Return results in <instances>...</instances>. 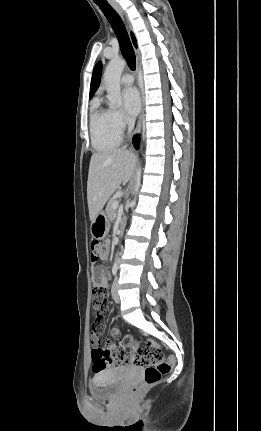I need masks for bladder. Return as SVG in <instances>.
<instances>
[{
	"label": "bladder",
	"instance_id": "1",
	"mask_svg": "<svg viewBox=\"0 0 261 431\" xmlns=\"http://www.w3.org/2000/svg\"><path fill=\"white\" fill-rule=\"evenodd\" d=\"M124 374L120 370H106L97 373L89 383V393L94 398L116 397L123 388Z\"/></svg>",
	"mask_w": 261,
	"mask_h": 431
}]
</instances>
